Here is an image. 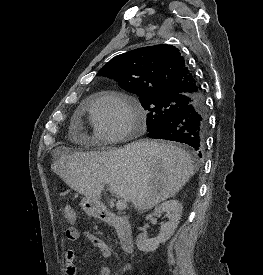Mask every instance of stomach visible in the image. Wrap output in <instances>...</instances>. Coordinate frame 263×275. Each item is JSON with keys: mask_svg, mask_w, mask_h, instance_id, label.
Instances as JSON below:
<instances>
[{"mask_svg": "<svg viewBox=\"0 0 263 275\" xmlns=\"http://www.w3.org/2000/svg\"><path fill=\"white\" fill-rule=\"evenodd\" d=\"M80 206L88 215L93 217H99L102 207L99 200L89 197L83 198Z\"/></svg>", "mask_w": 263, "mask_h": 275, "instance_id": "1", "label": "stomach"}]
</instances>
